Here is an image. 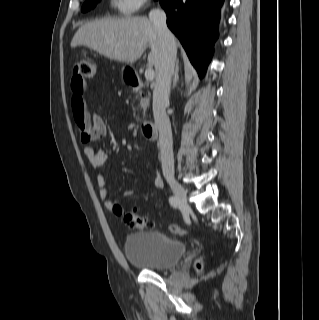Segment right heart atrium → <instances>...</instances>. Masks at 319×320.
<instances>
[{"label": "right heart atrium", "mask_w": 319, "mask_h": 320, "mask_svg": "<svg viewBox=\"0 0 319 320\" xmlns=\"http://www.w3.org/2000/svg\"><path fill=\"white\" fill-rule=\"evenodd\" d=\"M147 0H112L113 6L124 14H132L139 10Z\"/></svg>", "instance_id": "1"}]
</instances>
